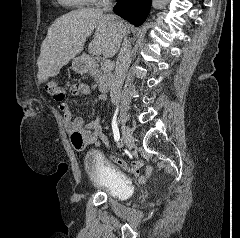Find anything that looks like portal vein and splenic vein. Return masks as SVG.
Instances as JSON below:
<instances>
[{
	"instance_id": "obj_1",
	"label": "portal vein and splenic vein",
	"mask_w": 240,
	"mask_h": 238,
	"mask_svg": "<svg viewBox=\"0 0 240 238\" xmlns=\"http://www.w3.org/2000/svg\"><path fill=\"white\" fill-rule=\"evenodd\" d=\"M89 53L93 54V55H97V52L95 50H90ZM112 66V64L110 63V61H104L101 63V67L103 70H108L110 69Z\"/></svg>"
}]
</instances>
